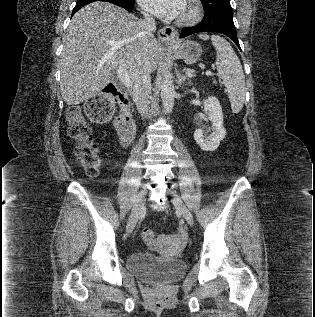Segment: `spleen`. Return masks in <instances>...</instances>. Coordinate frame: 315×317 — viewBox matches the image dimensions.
Masks as SVG:
<instances>
[{
    "label": "spleen",
    "mask_w": 315,
    "mask_h": 317,
    "mask_svg": "<svg viewBox=\"0 0 315 317\" xmlns=\"http://www.w3.org/2000/svg\"><path fill=\"white\" fill-rule=\"evenodd\" d=\"M200 39L212 41L216 50V67L227 89L233 113H239L244 105L246 87L242 65L230 43L219 35L200 34Z\"/></svg>",
    "instance_id": "obj_1"
}]
</instances>
